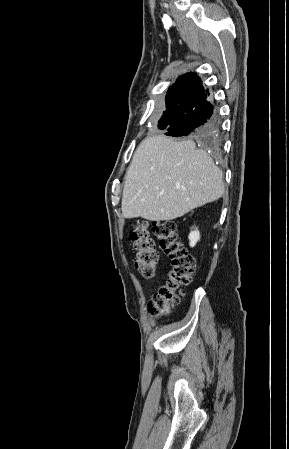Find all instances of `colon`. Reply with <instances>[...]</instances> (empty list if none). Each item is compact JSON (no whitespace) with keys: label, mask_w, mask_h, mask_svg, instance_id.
Here are the masks:
<instances>
[{"label":"colon","mask_w":289,"mask_h":449,"mask_svg":"<svg viewBox=\"0 0 289 449\" xmlns=\"http://www.w3.org/2000/svg\"><path fill=\"white\" fill-rule=\"evenodd\" d=\"M152 231L171 260L166 281L152 296L148 305L149 312L160 317L169 311L172 304L179 301L178 293L191 282L195 259L181 242L177 225L173 221L154 222ZM130 239L136 251V269L144 278H153L158 264V252L150 235L149 224H135L130 231Z\"/></svg>","instance_id":"colon-1"}]
</instances>
